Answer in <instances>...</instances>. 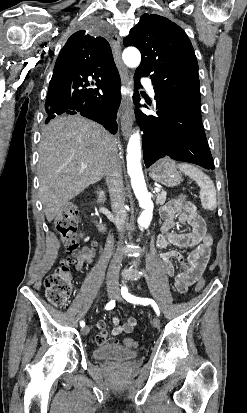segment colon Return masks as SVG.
<instances>
[{
	"label": "colon",
	"mask_w": 247,
	"mask_h": 413,
	"mask_svg": "<svg viewBox=\"0 0 247 413\" xmlns=\"http://www.w3.org/2000/svg\"><path fill=\"white\" fill-rule=\"evenodd\" d=\"M178 206L190 205L186 195L177 197ZM78 219L77 207L75 204H66L55 218V228L66 247L68 257L75 255L78 249L80 234L77 232L75 223ZM204 277H199L196 290L201 291L204 287ZM44 289L52 306L63 307L72 297L71 269L68 264L55 267L53 271L44 279ZM124 345L128 348H136L137 342L132 338H126Z\"/></svg>",
	"instance_id": "obj_1"
}]
</instances>
